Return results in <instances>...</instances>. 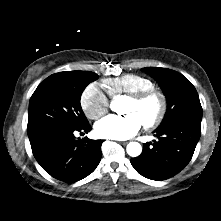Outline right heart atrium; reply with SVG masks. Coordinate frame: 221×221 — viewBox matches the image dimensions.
<instances>
[{"mask_svg": "<svg viewBox=\"0 0 221 221\" xmlns=\"http://www.w3.org/2000/svg\"><path fill=\"white\" fill-rule=\"evenodd\" d=\"M80 106L89 119L96 120L108 111L109 100L97 83H90L81 93Z\"/></svg>", "mask_w": 221, "mask_h": 221, "instance_id": "right-heart-atrium-1", "label": "right heart atrium"}]
</instances>
